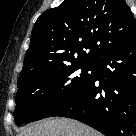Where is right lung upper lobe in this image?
Returning <instances> with one entry per match:
<instances>
[{
	"label": "right lung upper lobe",
	"instance_id": "1",
	"mask_svg": "<svg viewBox=\"0 0 136 136\" xmlns=\"http://www.w3.org/2000/svg\"><path fill=\"white\" fill-rule=\"evenodd\" d=\"M135 37L136 20L124 0H65L37 19L18 82L53 66L94 63Z\"/></svg>",
	"mask_w": 136,
	"mask_h": 136
}]
</instances>
